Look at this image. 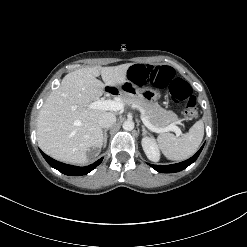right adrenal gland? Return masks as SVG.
<instances>
[{
	"mask_svg": "<svg viewBox=\"0 0 247 247\" xmlns=\"http://www.w3.org/2000/svg\"><path fill=\"white\" fill-rule=\"evenodd\" d=\"M107 131H108V128H106L105 130H104V136H103V142H104V147H106V144H107V138H108V136H107Z\"/></svg>",
	"mask_w": 247,
	"mask_h": 247,
	"instance_id": "1",
	"label": "right adrenal gland"
}]
</instances>
